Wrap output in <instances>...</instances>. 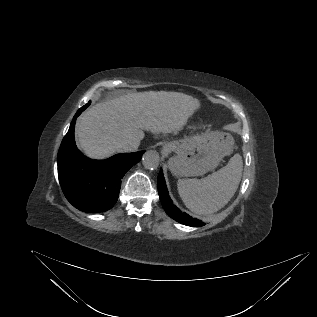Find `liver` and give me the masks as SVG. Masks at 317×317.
Returning <instances> with one entry per match:
<instances>
[{
  "label": "liver",
  "instance_id": "1",
  "mask_svg": "<svg viewBox=\"0 0 317 317\" xmlns=\"http://www.w3.org/2000/svg\"><path fill=\"white\" fill-rule=\"evenodd\" d=\"M199 108V100L184 93H129L87 109L77 119L75 135L85 155L104 159L120 152V143L140 144L143 130L177 134Z\"/></svg>",
  "mask_w": 317,
  "mask_h": 317
}]
</instances>
